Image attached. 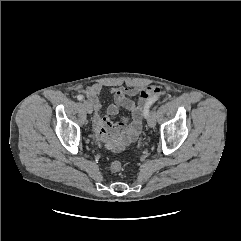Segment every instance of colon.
<instances>
[{
  "label": "colon",
  "mask_w": 241,
  "mask_h": 241,
  "mask_svg": "<svg viewBox=\"0 0 241 241\" xmlns=\"http://www.w3.org/2000/svg\"><path fill=\"white\" fill-rule=\"evenodd\" d=\"M110 168L114 172H119L122 169V164L118 160H113L110 164Z\"/></svg>",
  "instance_id": "colon-1"
}]
</instances>
